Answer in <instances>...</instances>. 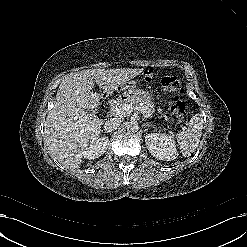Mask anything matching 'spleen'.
<instances>
[{
  "label": "spleen",
  "instance_id": "3e777b00",
  "mask_svg": "<svg viewBox=\"0 0 247 247\" xmlns=\"http://www.w3.org/2000/svg\"><path fill=\"white\" fill-rule=\"evenodd\" d=\"M203 129V119L200 114H195L189 122L186 131L179 132L176 135L180 150L184 157H189L191 153L195 152Z\"/></svg>",
  "mask_w": 247,
  "mask_h": 247
}]
</instances>
